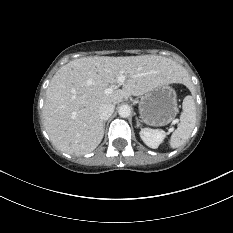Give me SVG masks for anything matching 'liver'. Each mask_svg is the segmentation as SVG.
I'll return each instance as SVG.
<instances>
[{"mask_svg": "<svg viewBox=\"0 0 233 233\" xmlns=\"http://www.w3.org/2000/svg\"><path fill=\"white\" fill-rule=\"evenodd\" d=\"M120 74L122 89L111 94ZM186 72L173 60L155 55L84 57L70 61L53 76L46 91L43 123L53 145L60 151L84 155L92 152L104 135L99 108L118 104L130 96H142L154 88L182 83Z\"/></svg>", "mask_w": 233, "mask_h": 233, "instance_id": "1", "label": "liver"}]
</instances>
